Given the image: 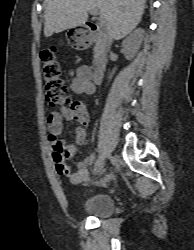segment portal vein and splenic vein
<instances>
[{
    "mask_svg": "<svg viewBox=\"0 0 194 250\" xmlns=\"http://www.w3.org/2000/svg\"><path fill=\"white\" fill-rule=\"evenodd\" d=\"M89 12H90V14L93 15V16H96V17H97V15H98V11L95 10V9L90 10ZM98 19H99V22H100V26H101V27H104L105 24H106L105 20H104L102 17H100V18H98Z\"/></svg>",
    "mask_w": 194,
    "mask_h": 250,
    "instance_id": "18ae733b",
    "label": "portal vein and splenic vein"
}]
</instances>
